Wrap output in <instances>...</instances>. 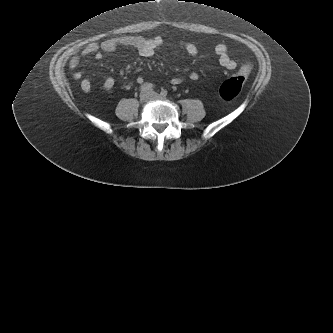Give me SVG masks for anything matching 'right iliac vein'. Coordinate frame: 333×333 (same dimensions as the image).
Returning a JSON list of instances; mask_svg holds the SVG:
<instances>
[{
	"mask_svg": "<svg viewBox=\"0 0 333 333\" xmlns=\"http://www.w3.org/2000/svg\"><path fill=\"white\" fill-rule=\"evenodd\" d=\"M152 98V93L149 91H143L140 94V99L142 102H148Z\"/></svg>",
	"mask_w": 333,
	"mask_h": 333,
	"instance_id": "1",
	"label": "right iliac vein"
}]
</instances>
